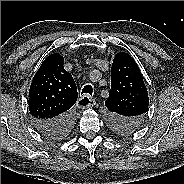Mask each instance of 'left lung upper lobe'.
I'll list each match as a JSON object with an SVG mask.
<instances>
[{"label":"left lung upper lobe","instance_id":"obj_1","mask_svg":"<svg viewBox=\"0 0 184 184\" xmlns=\"http://www.w3.org/2000/svg\"><path fill=\"white\" fill-rule=\"evenodd\" d=\"M108 122L120 133L138 129L148 111L149 97L142 74L133 58L118 53L112 63L111 91L105 102Z\"/></svg>","mask_w":184,"mask_h":184}]
</instances>
